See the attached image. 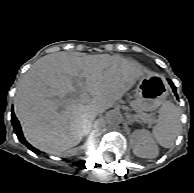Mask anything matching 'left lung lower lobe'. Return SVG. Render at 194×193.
Segmentation results:
<instances>
[{
    "label": "left lung lower lobe",
    "instance_id": "obj_1",
    "mask_svg": "<svg viewBox=\"0 0 194 193\" xmlns=\"http://www.w3.org/2000/svg\"><path fill=\"white\" fill-rule=\"evenodd\" d=\"M168 81H169V84L171 85V87L176 95L177 93H176V88H175L174 84L170 80H168Z\"/></svg>",
    "mask_w": 194,
    "mask_h": 193
}]
</instances>
